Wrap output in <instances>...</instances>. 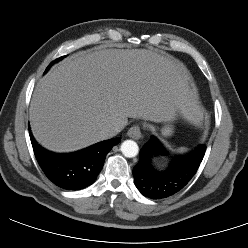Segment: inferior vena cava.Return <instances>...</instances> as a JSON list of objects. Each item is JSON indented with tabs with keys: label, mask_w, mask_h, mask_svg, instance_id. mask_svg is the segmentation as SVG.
<instances>
[{
	"label": "inferior vena cava",
	"mask_w": 248,
	"mask_h": 248,
	"mask_svg": "<svg viewBox=\"0 0 248 248\" xmlns=\"http://www.w3.org/2000/svg\"><path fill=\"white\" fill-rule=\"evenodd\" d=\"M122 130V128L120 126H113L110 127L109 129H107V134L109 135V137H113L116 134H118L120 131Z\"/></svg>",
	"instance_id": "1"
}]
</instances>
